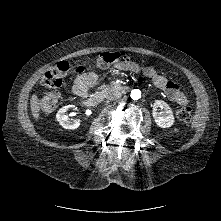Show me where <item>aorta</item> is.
Wrapping results in <instances>:
<instances>
[{"instance_id": "762f6f07", "label": "aorta", "mask_w": 221, "mask_h": 221, "mask_svg": "<svg viewBox=\"0 0 221 221\" xmlns=\"http://www.w3.org/2000/svg\"><path fill=\"white\" fill-rule=\"evenodd\" d=\"M141 97V91L139 89H134L131 91V98L133 100H138Z\"/></svg>"}]
</instances>
